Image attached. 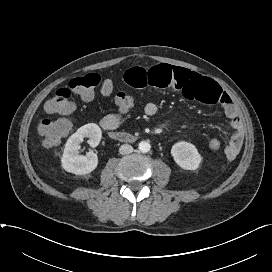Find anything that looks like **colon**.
Returning <instances> with one entry per match:
<instances>
[{
    "label": "colon",
    "mask_w": 272,
    "mask_h": 272,
    "mask_svg": "<svg viewBox=\"0 0 272 272\" xmlns=\"http://www.w3.org/2000/svg\"><path fill=\"white\" fill-rule=\"evenodd\" d=\"M100 82V77L93 73L73 78L67 86L59 88L45 103V112L54 116L43 119L38 125V133L45 146L58 145L70 131L75 110L72 102L73 93L89 100L93 97L94 89ZM101 91L105 96L113 94V83L109 80L102 82ZM114 104L120 112L128 113L136 106L137 99L128 92L119 91L114 95ZM208 145L212 150H219L222 147L221 141L217 138L210 139Z\"/></svg>",
    "instance_id": "1"
}]
</instances>
